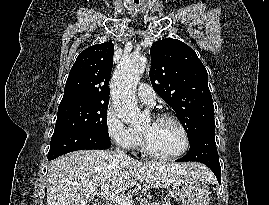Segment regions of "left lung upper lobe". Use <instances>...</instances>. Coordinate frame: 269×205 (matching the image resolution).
Listing matches in <instances>:
<instances>
[{
    "instance_id": "5c2ea615",
    "label": "left lung upper lobe",
    "mask_w": 269,
    "mask_h": 205,
    "mask_svg": "<svg viewBox=\"0 0 269 205\" xmlns=\"http://www.w3.org/2000/svg\"><path fill=\"white\" fill-rule=\"evenodd\" d=\"M150 54L152 87L176 112L189 140L202 130L215 129L208 74L195 51L180 40L166 38L155 42Z\"/></svg>"
}]
</instances>
